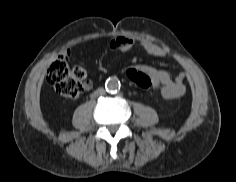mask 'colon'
<instances>
[{
    "instance_id": "colon-1",
    "label": "colon",
    "mask_w": 236,
    "mask_h": 182,
    "mask_svg": "<svg viewBox=\"0 0 236 182\" xmlns=\"http://www.w3.org/2000/svg\"><path fill=\"white\" fill-rule=\"evenodd\" d=\"M127 78L136 87L148 89L152 86L150 76L137 67L126 71ZM86 73L81 67L70 68L64 61H53L46 72L47 81L55 91L65 98L77 97L85 88Z\"/></svg>"
}]
</instances>
